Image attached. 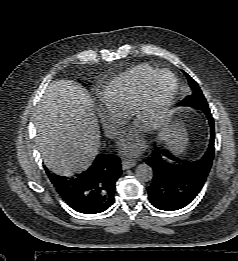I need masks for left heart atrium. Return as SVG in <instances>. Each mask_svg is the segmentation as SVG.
<instances>
[{
  "label": "left heart atrium",
  "mask_w": 238,
  "mask_h": 261,
  "mask_svg": "<svg viewBox=\"0 0 238 261\" xmlns=\"http://www.w3.org/2000/svg\"><path fill=\"white\" fill-rule=\"evenodd\" d=\"M145 139L142 132L133 128L118 143L120 152L129 157L139 155L145 148Z\"/></svg>",
  "instance_id": "39dd6f15"
}]
</instances>
